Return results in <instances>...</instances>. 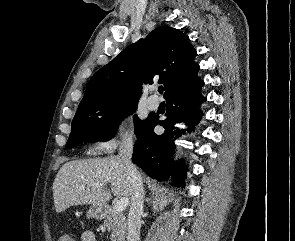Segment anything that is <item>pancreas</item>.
<instances>
[{
  "label": "pancreas",
  "mask_w": 295,
  "mask_h": 241,
  "mask_svg": "<svg viewBox=\"0 0 295 241\" xmlns=\"http://www.w3.org/2000/svg\"><path fill=\"white\" fill-rule=\"evenodd\" d=\"M103 225L111 232V241H124L126 234V217L110 207L105 216Z\"/></svg>",
  "instance_id": "cf45deb5"
}]
</instances>
